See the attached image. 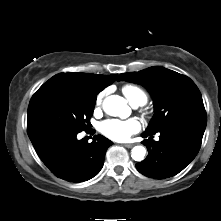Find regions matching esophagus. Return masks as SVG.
Returning a JSON list of instances; mask_svg holds the SVG:
<instances>
[{
	"label": "esophagus",
	"instance_id": "34e87169",
	"mask_svg": "<svg viewBox=\"0 0 221 221\" xmlns=\"http://www.w3.org/2000/svg\"><path fill=\"white\" fill-rule=\"evenodd\" d=\"M123 146L126 148H132L134 146V144H124Z\"/></svg>",
	"mask_w": 221,
	"mask_h": 221
}]
</instances>
